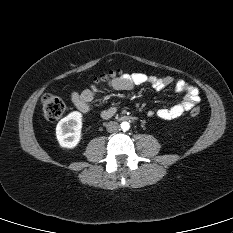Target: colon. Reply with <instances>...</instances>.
<instances>
[{"mask_svg":"<svg viewBox=\"0 0 233 233\" xmlns=\"http://www.w3.org/2000/svg\"><path fill=\"white\" fill-rule=\"evenodd\" d=\"M120 74L119 70H109L103 74H101L96 81L104 82L110 79L118 77ZM41 106L44 117L50 121L55 122L64 114L66 111V103L64 100L58 96L46 94L41 99ZM201 112V108L199 106H195L191 109L190 114L192 116H197Z\"/></svg>","mask_w":233,"mask_h":233,"instance_id":"colon-1","label":"colon"}]
</instances>
